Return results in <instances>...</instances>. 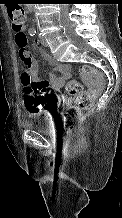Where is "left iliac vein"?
<instances>
[{"label": "left iliac vein", "mask_w": 122, "mask_h": 218, "mask_svg": "<svg viewBox=\"0 0 122 218\" xmlns=\"http://www.w3.org/2000/svg\"><path fill=\"white\" fill-rule=\"evenodd\" d=\"M40 41H41V44H42L44 47H48V42H47L46 39L41 38Z\"/></svg>", "instance_id": "1"}]
</instances>
